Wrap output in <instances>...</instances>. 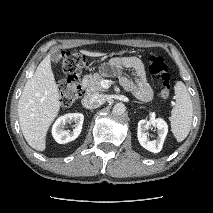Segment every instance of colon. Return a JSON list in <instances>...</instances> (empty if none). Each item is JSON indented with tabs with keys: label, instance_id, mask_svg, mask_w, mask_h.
Returning a JSON list of instances; mask_svg holds the SVG:
<instances>
[{
	"label": "colon",
	"instance_id": "5ec220e1",
	"mask_svg": "<svg viewBox=\"0 0 213 213\" xmlns=\"http://www.w3.org/2000/svg\"><path fill=\"white\" fill-rule=\"evenodd\" d=\"M149 71L156 80L162 98L168 99L171 92L169 68L163 57L152 55L149 58ZM62 70L67 78L59 84L60 102L69 106L83 95L80 77L86 68L85 58L77 53H65L61 60Z\"/></svg>",
	"mask_w": 213,
	"mask_h": 213
}]
</instances>
